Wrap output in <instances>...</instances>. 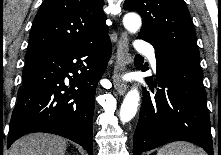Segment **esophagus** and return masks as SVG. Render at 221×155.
<instances>
[{
	"label": "esophagus",
	"instance_id": "1",
	"mask_svg": "<svg viewBox=\"0 0 221 155\" xmlns=\"http://www.w3.org/2000/svg\"><path fill=\"white\" fill-rule=\"evenodd\" d=\"M129 62V38L126 32H122L117 45V59L114 71L115 89L119 95H124L128 88L127 83L120 79V75L127 71Z\"/></svg>",
	"mask_w": 221,
	"mask_h": 155
}]
</instances>
